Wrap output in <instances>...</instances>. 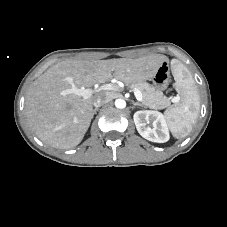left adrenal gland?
Wrapping results in <instances>:
<instances>
[{
    "mask_svg": "<svg viewBox=\"0 0 227 227\" xmlns=\"http://www.w3.org/2000/svg\"><path fill=\"white\" fill-rule=\"evenodd\" d=\"M133 105L134 106H139V107H144L141 103H138V102H133Z\"/></svg>",
    "mask_w": 227,
    "mask_h": 227,
    "instance_id": "a2214340",
    "label": "left adrenal gland"
}]
</instances>
